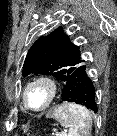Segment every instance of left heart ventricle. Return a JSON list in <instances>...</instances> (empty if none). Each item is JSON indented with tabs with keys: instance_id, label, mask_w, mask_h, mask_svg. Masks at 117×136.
Masks as SVG:
<instances>
[{
	"instance_id": "b2bd125f",
	"label": "left heart ventricle",
	"mask_w": 117,
	"mask_h": 136,
	"mask_svg": "<svg viewBox=\"0 0 117 136\" xmlns=\"http://www.w3.org/2000/svg\"><path fill=\"white\" fill-rule=\"evenodd\" d=\"M47 99V90L41 85L32 87L27 95V100L32 108L42 107Z\"/></svg>"
}]
</instances>
